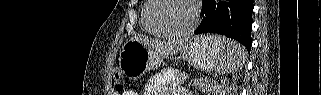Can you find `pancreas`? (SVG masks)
I'll return each mask as SVG.
<instances>
[{"instance_id":"1","label":"pancreas","mask_w":321,"mask_h":95,"mask_svg":"<svg viewBox=\"0 0 321 95\" xmlns=\"http://www.w3.org/2000/svg\"><path fill=\"white\" fill-rule=\"evenodd\" d=\"M195 86H198L200 90L203 92L210 93L213 91V93L217 92V89L219 87H222L223 85H220L216 83L214 80L210 78H200L194 80Z\"/></svg>"}]
</instances>
